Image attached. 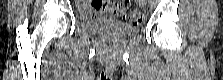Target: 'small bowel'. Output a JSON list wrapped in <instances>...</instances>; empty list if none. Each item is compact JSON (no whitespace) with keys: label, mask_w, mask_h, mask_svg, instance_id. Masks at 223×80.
<instances>
[{"label":"small bowel","mask_w":223,"mask_h":80,"mask_svg":"<svg viewBox=\"0 0 223 80\" xmlns=\"http://www.w3.org/2000/svg\"><path fill=\"white\" fill-rule=\"evenodd\" d=\"M81 11L90 16L104 15L107 17H115L120 13L119 3L109 2H93L92 4H83Z\"/></svg>","instance_id":"1"}]
</instances>
